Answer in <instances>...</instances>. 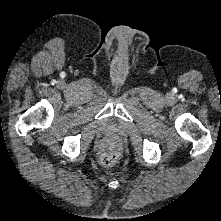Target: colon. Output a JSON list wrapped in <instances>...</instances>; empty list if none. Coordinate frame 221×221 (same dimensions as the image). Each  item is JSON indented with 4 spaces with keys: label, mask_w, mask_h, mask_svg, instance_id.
<instances>
[{
    "label": "colon",
    "mask_w": 221,
    "mask_h": 221,
    "mask_svg": "<svg viewBox=\"0 0 221 221\" xmlns=\"http://www.w3.org/2000/svg\"><path fill=\"white\" fill-rule=\"evenodd\" d=\"M120 148L116 143H110L105 146L101 155L100 162L104 166L112 165L119 158Z\"/></svg>",
    "instance_id": "1"
}]
</instances>
